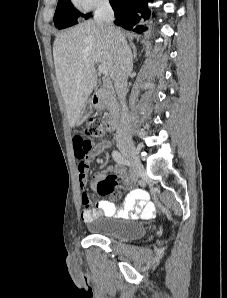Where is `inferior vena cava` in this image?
I'll return each mask as SVG.
<instances>
[{
  "instance_id": "1",
  "label": "inferior vena cava",
  "mask_w": 227,
  "mask_h": 298,
  "mask_svg": "<svg viewBox=\"0 0 227 298\" xmlns=\"http://www.w3.org/2000/svg\"><path fill=\"white\" fill-rule=\"evenodd\" d=\"M94 20L108 34L113 43L115 79L114 87L122 105L121 120L116 131L117 140L129 138V117L126 105L127 79L133 68V56L125 37L114 27V12L108 0L99 3Z\"/></svg>"
}]
</instances>
